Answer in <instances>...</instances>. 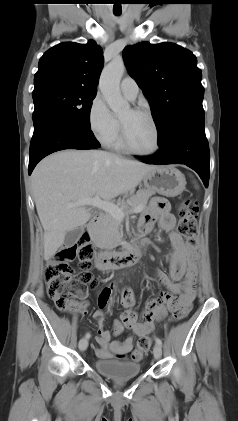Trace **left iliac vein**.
<instances>
[{
    "label": "left iliac vein",
    "mask_w": 238,
    "mask_h": 421,
    "mask_svg": "<svg viewBox=\"0 0 238 421\" xmlns=\"http://www.w3.org/2000/svg\"><path fill=\"white\" fill-rule=\"evenodd\" d=\"M153 354L156 359H159L162 356V348L159 344H155L153 348Z\"/></svg>",
    "instance_id": "4c4485c4"
}]
</instances>
